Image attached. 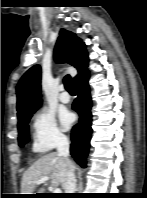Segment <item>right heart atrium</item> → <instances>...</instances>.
<instances>
[{
  "label": "right heart atrium",
  "mask_w": 147,
  "mask_h": 198,
  "mask_svg": "<svg viewBox=\"0 0 147 198\" xmlns=\"http://www.w3.org/2000/svg\"><path fill=\"white\" fill-rule=\"evenodd\" d=\"M33 149L45 153L66 141V136L58 126L50 111L41 109L32 117Z\"/></svg>",
  "instance_id": "obj_1"
}]
</instances>
